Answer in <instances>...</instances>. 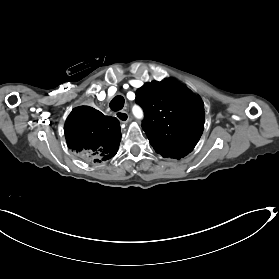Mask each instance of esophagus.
<instances>
[{
	"instance_id": "obj_1",
	"label": "esophagus",
	"mask_w": 279,
	"mask_h": 279,
	"mask_svg": "<svg viewBox=\"0 0 279 279\" xmlns=\"http://www.w3.org/2000/svg\"><path fill=\"white\" fill-rule=\"evenodd\" d=\"M115 116L121 123H127L129 121V114L126 111H117Z\"/></svg>"
}]
</instances>
